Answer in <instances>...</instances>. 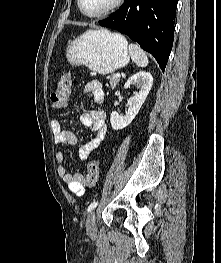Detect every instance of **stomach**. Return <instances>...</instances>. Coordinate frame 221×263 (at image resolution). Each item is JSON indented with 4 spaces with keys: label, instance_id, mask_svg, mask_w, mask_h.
I'll list each match as a JSON object with an SVG mask.
<instances>
[{
    "label": "stomach",
    "instance_id": "0dacf381",
    "mask_svg": "<svg viewBox=\"0 0 221 263\" xmlns=\"http://www.w3.org/2000/svg\"><path fill=\"white\" fill-rule=\"evenodd\" d=\"M66 57L72 65H84L102 75L113 73L130 61L126 39L106 29L87 31L71 42Z\"/></svg>",
    "mask_w": 221,
    "mask_h": 263
}]
</instances>
